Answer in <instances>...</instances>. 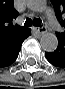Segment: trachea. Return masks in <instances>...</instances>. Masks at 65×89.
I'll use <instances>...</instances> for the list:
<instances>
[{"mask_svg": "<svg viewBox=\"0 0 65 89\" xmlns=\"http://www.w3.org/2000/svg\"><path fill=\"white\" fill-rule=\"evenodd\" d=\"M32 25L37 26V27H41L42 26V21L39 18H34V19L27 18L25 23H24V26L25 27H30Z\"/></svg>", "mask_w": 65, "mask_h": 89, "instance_id": "trachea-1", "label": "trachea"}]
</instances>
